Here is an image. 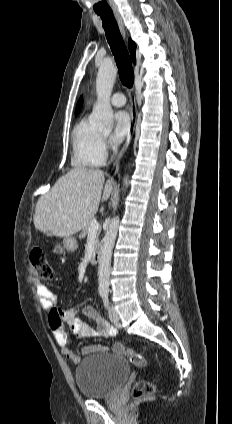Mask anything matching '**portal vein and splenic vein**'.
<instances>
[{
	"label": "portal vein and splenic vein",
	"instance_id": "obj_1",
	"mask_svg": "<svg viewBox=\"0 0 232 424\" xmlns=\"http://www.w3.org/2000/svg\"><path fill=\"white\" fill-rule=\"evenodd\" d=\"M99 228H100L99 223L97 222V220L94 219L92 220L91 225L89 227V233H92V232L95 233L99 230Z\"/></svg>",
	"mask_w": 232,
	"mask_h": 424
}]
</instances>
